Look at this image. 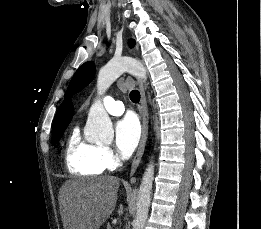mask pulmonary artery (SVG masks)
Masks as SVG:
<instances>
[{
    "label": "pulmonary artery",
    "instance_id": "e3ab8cb5",
    "mask_svg": "<svg viewBox=\"0 0 261 229\" xmlns=\"http://www.w3.org/2000/svg\"><path fill=\"white\" fill-rule=\"evenodd\" d=\"M103 104L108 113L114 116H119L123 113L124 108L121 102L115 101L110 95L103 98Z\"/></svg>",
    "mask_w": 261,
    "mask_h": 229
}]
</instances>
